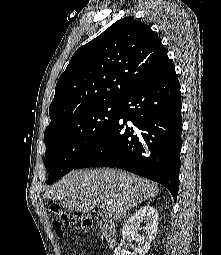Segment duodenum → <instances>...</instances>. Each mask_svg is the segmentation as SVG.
I'll use <instances>...</instances> for the list:
<instances>
[{
	"label": "duodenum",
	"instance_id": "obj_1",
	"mask_svg": "<svg viewBox=\"0 0 221 255\" xmlns=\"http://www.w3.org/2000/svg\"><path fill=\"white\" fill-rule=\"evenodd\" d=\"M100 228L108 246L115 245L116 230L115 225L109 219H102L100 221Z\"/></svg>",
	"mask_w": 221,
	"mask_h": 255
}]
</instances>
